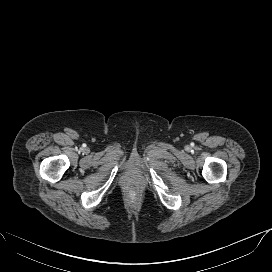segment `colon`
Returning <instances> with one entry per match:
<instances>
[{"label": "colon", "instance_id": "5ec220e1", "mask_svg": "<svg viewBox=\"0 0 272 272\" xmlns=\"http://www.w3.org/2000/svg\"><path fill=\"white\" fill-rule=\"evenodd\" d=\"M128 197L130 200L135 201L138 198V193L136 191H130Z\"/></svg>", "mask_w": 272, "mask_h": 272}]
</instances>
